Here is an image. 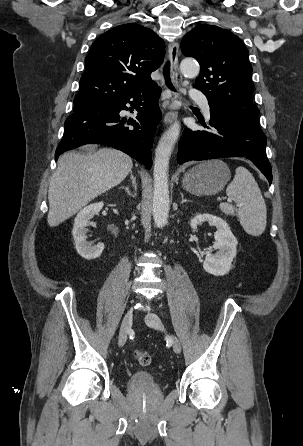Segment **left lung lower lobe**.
<instances>
[{
  "mask_svg": "<svg viewBox=\"0 0 303 446\" xmlns=\"http://www.w3.org/2000/svg\"><path fill=\"white\" fill-rule=\"evenodd\" d=\"M210 131L183 132L179 141V164L189 160H208L223 157H246L272 182L271 165L266 156V136L246 122L231 116L222 106L209 101Z\"/></svg>",
  "mask_w": 303,
  "mask_h": 446,
  "instance_id": "1",
  "label": "left lung lower lobe"
}]
</instances>
